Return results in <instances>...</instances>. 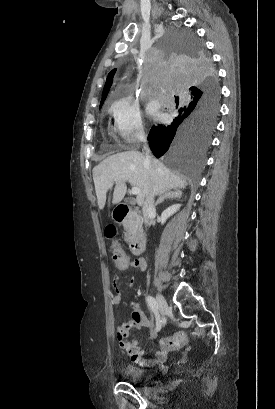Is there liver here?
<instances>
[{"instance_id": "1", "label": "liver", "mask_w": 275, "mask_h": 409, "mask_svg": "<svg viewBox=\"0 0 275 409\" xmlns=\"http://www.w3.org/2000/svg\"><path fill=\"white\" fill-rule=\"evenodd\" d=\"M150 168L152 172H149ZM93 180L99 209H104L106 194L112 188L114 180L116 182L112 198L113 205L120 202L126 194L125 180H129L131 184L140 188L136 198L137 205L140 207L151 192L163 194L170 188H177V186L185 188L186 186V180L180 174L172 172L157 158H152V166L146 164L145 154L139 150H126V152L107 156L97 166H94Z\"/></svg>"}]
</instances>
